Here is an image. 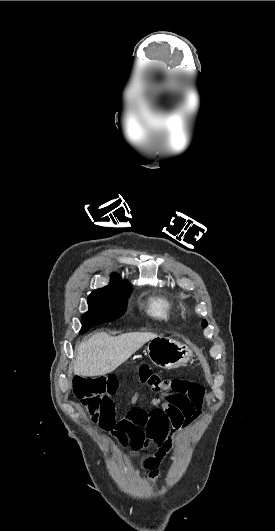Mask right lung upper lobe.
<instances>
[{"label": "right lung upper lobe", "mask_w": 275, "mask_h": 531, "mask_svg": "<svg viewBox=\"0 0 275 531\" xmlns=\"http://www.w3.org/2000/svg\"><path fill=\"white\" fill-rule=\"evenodd\" d=\"M112 277L116 278V274H113ZM128 286H130V284L128 282L120 281L118 279L115 280V279L112 278L111 281H110V284L108 286H106V287H119V288L122 287V288H126Z\"/></svg>", "instance_id": "cb5924a9"}]
</instances>
